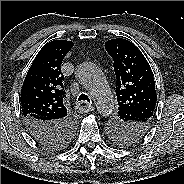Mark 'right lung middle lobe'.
Returning a JSON list of instances; mask_svg holds the SVG:
<instances>
[{"label": "right lung middle lobe", "mask_w": 184, "mask_h": 184, "mask_svg": "<svg viewBox=\"0 0 184 184\" xmlns=\"http://www.w3.org/2000/svg\"><path fill=\"white\" fill-rule=\"evenodd\" d=\"M73 132H74V129L71 130L68 135H66V138H64L61 143L55 144V145L49 146V147H51V148H61V147H63L70 140Z\"/></svg>", "instance_id": "1"}]
</instances>
